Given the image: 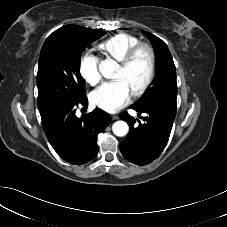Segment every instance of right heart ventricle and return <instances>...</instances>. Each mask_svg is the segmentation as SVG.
<instances>
[{"mask_svg": "<svg viewBox=\"0 0 227 227\" xmlns=\"http://www.w3.org/2000/svg\"><path fill=\"white\" fill-rule=\"evenodd\" d=\"M138 43L139 39L135 35L120 32L101 42L98 49L106 57L121 61L125 54Z\"/></svg>", "mask_w": 227, "mask_h": 227, "instance_id": "e07e8e85", "label": "right heart ventricle"}]
</instances>
